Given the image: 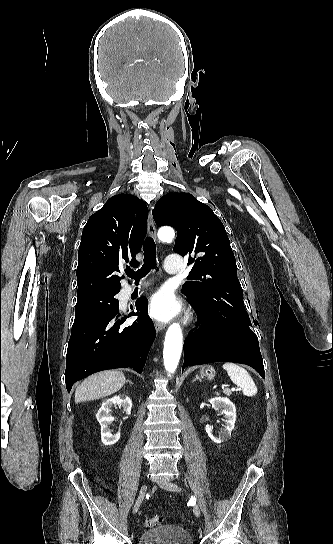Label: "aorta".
Wrapping results in <instances>:
<instances>
[{
    "instance_id": "aorta-1",
    "label": "aorta",
    "mask_w": 333,
    "mask_h": 544,
    "mask_svg": "<svg viewBox=\"0 0 333 544\" xmlns=\"http://www.w3.org/2000/svg\"><path fill=\"white\" fill-rule=\"evenodd\" d=\"M174 231L170 227H163L158 232V237L164 242H170L174 238ZM182 352V330L178 323L169 326L164 342L163 358L164 366L168 373H174L179 364Z\"/></svg>"
}]
</instances>
